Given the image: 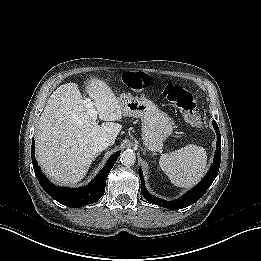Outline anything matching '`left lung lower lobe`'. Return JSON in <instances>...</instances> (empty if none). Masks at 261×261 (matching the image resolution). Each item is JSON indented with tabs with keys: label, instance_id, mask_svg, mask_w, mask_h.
<instances>
[{
	"label": "left lung lower lobe",
	"instance_id": "left-lung-lower-lobe-1",
	"mask_svg": "<svg viewBox=\"0 0 261 261\" xmlns=\"http://www.w3.org/2000/svg\"><path fill=\"white\" fill-rule=\"evenodd\" d=\"M213 127L217 134V146L215 151L214 162L211 165V168L207 175L199 182L197 186L191 189L188 193L182 196L180 199L175 201H166L160 198H157L154 195H151L145 188L144 178L142 175L141 169H139V177L141 180V193L148 200L150 203L156 204L158 206H162L172 210H178L185 208L187 206L192 205L197 200H199L207 191L209 186L213 183L214 179L216 178L221 161V135L219 132L218 125L215 121H213Z\"/></svg>",
	"mask_w": 261,
	"mask_h": 261
}]
</instances>
